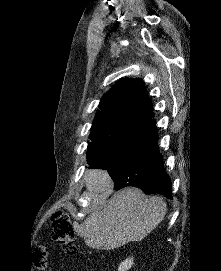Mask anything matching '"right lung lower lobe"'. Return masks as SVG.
<instances>
[{
	"instance_id": "1",
	"label": "right lung lower lobe",
	"mask_w": 221,
	"mask_h": 271,
	"mask_svg": "<svg viewBox=\"0 0 221 271\" xmlns=\"http://www.w3.org/2000/svg\"><path fill=\"white\" fill-rule=\"evenodd\" d=\"M157 141V129L153 127L131 154L106 169L116 190L134 186L145 194H161L172 198L171 180L165 171Z\"/></svg>"
}]
</instances>
